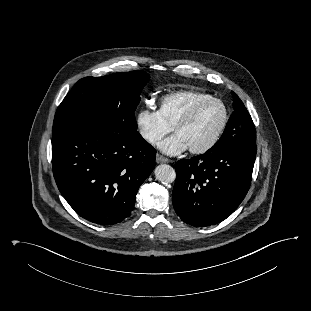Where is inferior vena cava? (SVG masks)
I'll use <instances>...</instances> for the list:
<instances>
[{"instance_id": "obj_1", "label": "inferior vena cava", "mask_w": 311, "mask_h": 311, "mask_svg": "<svg viewBox=\"0 0 311 311\" xmlns=\"http://www.w3.org/2000/svg\"><path fill=\"white\" fill-rule=\"evenodd\" d=\"M142 136H143L145 139H147V140H149V141H151V142H153V141L155 140L154 136L151 135V134H149V133L146 132V131H142Z\"/></svg>"}]
</instances>
